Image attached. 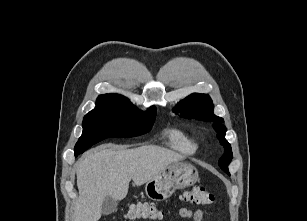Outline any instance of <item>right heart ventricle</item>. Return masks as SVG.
Segmentation results:
<instances>
[{
	"mask_svg": "<svg viewBox=\"0 0 307 221\" xmlns=\"http://www.w3.org/2000/svg\"><path fill=\"white\" fill-rule=\"evenodd\" d=\"M166 136L170 147L185 155L194 154L198 148L195 140L180 129H169L166 131Z\"/></svg>",
	"mask_w": 307,
	"mask_h": 221,
	"instance_id": "1",
	"label": "right heart ventricle"
}]
</instances>
